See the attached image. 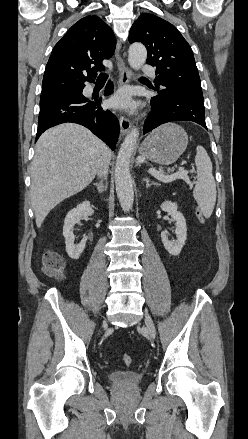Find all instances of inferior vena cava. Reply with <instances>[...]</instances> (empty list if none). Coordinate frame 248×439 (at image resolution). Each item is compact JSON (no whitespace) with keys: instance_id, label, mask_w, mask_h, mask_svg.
I'll return each mask as SVG.
<instances>
[{"instance_id":"602c4592","label":"inferior vena cava","mask_w":248,"mask_h":439,"mask_svg":"<svg viewBox=\"0 0 248 439\" xmlns=\"http://www.w3.org/2000/svg\"><path fill=\"white\" fill-rule=\"evenodd\" d=\"M110 160H111V152L108 149L107 153L105 154L103 160L101 161L98 171H97V176L99 178H106L107 174H108V169H109V165H110Z\"/></svg>"}]
</instances>
